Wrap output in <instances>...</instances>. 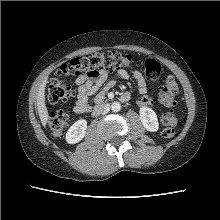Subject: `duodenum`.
Returning a JSON list of instances; mask_svg holds the SVG:
<instances>
[{
	"label": "duodenum",
	"instance_id": "1",
	"mask_svg": "<svg viewBox=\"0 0 220 220\" xmlns=\"http://www.w3.org/2000/svg\"><path fill=\"white\" fill-rule=\"evenodd\" d=\"M129 99H130V97H129V95H127V94H122V95L120 96V101H122V102H128ZM104 107H105V105H104V103L101 101V102L98 103V105L93 109L92 115H93V116L98 115V114L104 109Z\"/></svg>",
	"mask_w": 220,
	"mask_h": 220
}]
</instances>
